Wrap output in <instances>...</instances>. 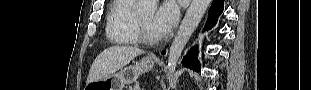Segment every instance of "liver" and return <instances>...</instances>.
I'll return each mask as SVG.
<instances>
[{
  "mask_svg": "<svg viewBox=\"0 0 311 90\" xmlns=\"http://www.w3.org/2000/svg\"><path fill=\"white\" fill-rule=\"evenodd\" d=\"M143 53V50L133 46H112L105 49L92 63L86 83L104 79Z\"/></svg>",
  "mask_w": 311,
  "mask_h": 90,
  "instance_id": "6515ba94",
  "label": "liver"
}]
</instances>
